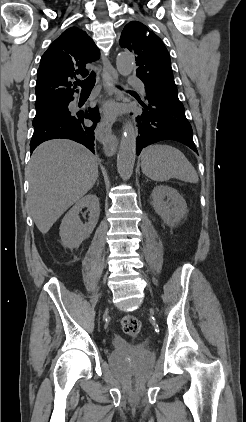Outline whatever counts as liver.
Returning a JSON list of instances; mask_svg holds the SVG:
<instances>
[{"instance_id":"liver-1","label":"liver","mask_w":246,"mask_h":422,"mask_svg":"<svg viewBox=\"0 0 246 422\" xmlns=\"http://www.w3.org/2000/svg\"><path fill=\"white\" fill-rule=\"evenodd\" d=\"M27 174L30 184L27 203L37 228L46 234L93 187L98 178V163L83 145L54 139L36 148Z\"/></svg>"}]
</instances>
